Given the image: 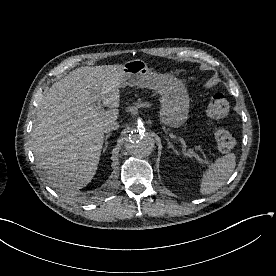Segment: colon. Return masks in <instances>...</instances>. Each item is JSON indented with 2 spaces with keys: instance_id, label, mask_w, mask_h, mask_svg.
<instances>
[{
  "instance_id": "colon-1",
  "label": "colon",
  "mask_w": 276,
  "mask_h": 276,
  "mask_svg": "<svg viewBox=\"0 0 276 276\" xmlns=\"http://www.w3.org/2000/svg\"><path fill=\"white\" fill-rule=\"evenodd\" d=\"M230 110V104L221 93L213 95L207 105L206 116L210 123L225 118ZM214 137L217 148L220 152L227 153L234 149L236 145L235 136L223 128H215Z\"/></svg>"
}]
</instances>
